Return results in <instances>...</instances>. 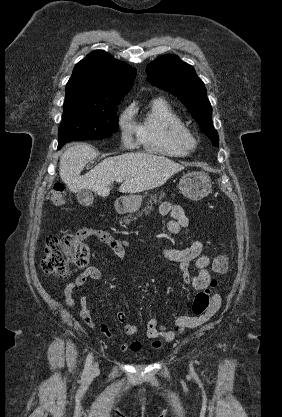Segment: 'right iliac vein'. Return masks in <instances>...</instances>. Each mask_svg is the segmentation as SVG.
Segmentation results:
<instances>
[{
  "instance_id": "obj_1",
  "label": "right iliac vein",
  "mask_w": 282,
  "mask_h": 417,
  "mask_svg": "<svg viewBox=\"0 0 282 417\" xmlns=\"http://www.w3.org/2000/svg\"><path fill=\"white\" fill-rule=\"evenodd\" d=\"M98 371V363H94L91 368V373H95Z\"/></svg>"
}]
</instances>
